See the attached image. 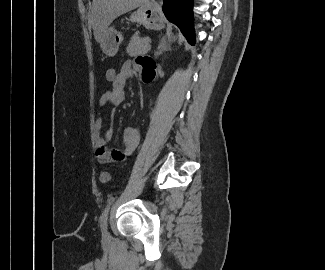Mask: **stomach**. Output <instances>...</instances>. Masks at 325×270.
<instances>
[{"mask_svg":"<svg viewBox=\"0 0 325 270\" xmlns=\"http://www.w3.org/2000/svg\"><path fill=\"white\" fill-rule=\"evenodd\" d=\"M130 21L141 23L147 29L153 30H161L165 26L159 9L153 3L142 4L137 11L131 14ZM122 41L121 33L113 28H108L101 43L103 53L109 57L115 56Z\"/></svg>","mask_w":325,"mask_h":270,"instance_id":"1","label":"stomach"}]
</instances>
